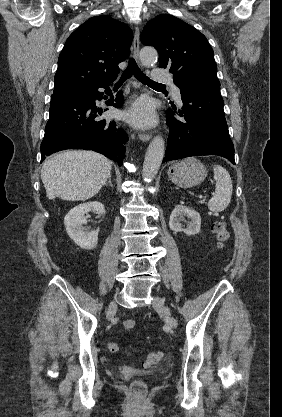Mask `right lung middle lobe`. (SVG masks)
Segmentation results:
<instances>
[{"label":"right lung middle lobe","instance_id":"dd1d6c3e","mask_svg":"<svg viewBox=\"0 0 282 417\" xmlns=\"http://www.w3.org/2000/svg\"><path fill=\"white\" fill-rule=\"evenodd\" d=\"M59 95H61V94L52 95V96H51V98H55V97H57V96H59Z\"/></svg>","mask_w":282,"mask_h":417}]
</instances>
